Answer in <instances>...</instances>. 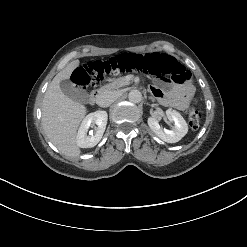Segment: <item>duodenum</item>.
Listing matches in <instances>:
<instances>
[{"label": "duodenum", "instance_id": "410a0bca", "mask_svg": "<svg viewBox=\"0 0 247 247\" xmlns=\"http://www.w3.org/2000/svg\"><path fill=\"white\" fill-rule=\"evenodd\" d=\"M101 94H102L101 89H94L90 95L91 104L97 105L100 101Z\"/></svg>", "mask_w": 247, "mask_h": 247}]
</instances>
